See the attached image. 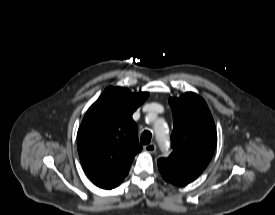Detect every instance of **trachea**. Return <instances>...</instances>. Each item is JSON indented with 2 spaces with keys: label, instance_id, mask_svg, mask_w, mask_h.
<instances>
[{
  "label": "trachea",
  "instance_id": "trachea-1",
  "mask_svg": "<svg viewBox=\"0 0 275 215\" xmlns=\"http://www.w3.org/2000/svg\"><path fill=\"white\" fill-rule=\"evenodd\" d=\"M151 137L152 134L150 131L145 130L142 134H141V138H140V143L143 145L149 144L151 141Z\"/></svg>",
  "mask_w": 275,
  "mask_h": 215
}]
</instances>
